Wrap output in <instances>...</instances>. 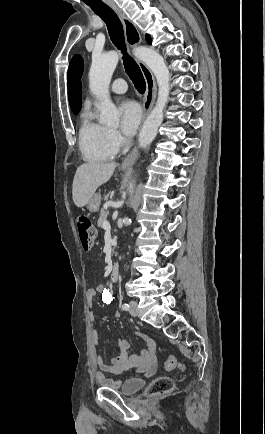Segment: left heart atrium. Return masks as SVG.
<instances>
[{
    "label": "left heart atrium",
    "instance_id": "obj_1",
    "mask_svg": "<svg viewBox=\"0 0 265 434\" xmlns=\"http://www.w3.org/2000/svg\"><path fill=\"white\" fill-rule=\"evenodd\" d=\"M120 128L124 135L132 136L141 121L142 111L140 105L133 100H126L120 104Z\"/></svg>",
    "mask_w": 265,
    "mask_h": 434
}]
</instances>
